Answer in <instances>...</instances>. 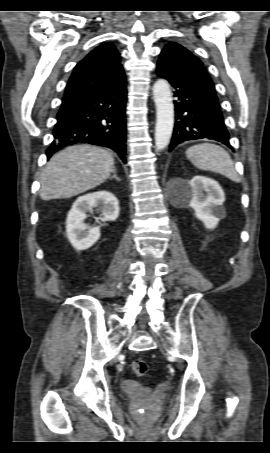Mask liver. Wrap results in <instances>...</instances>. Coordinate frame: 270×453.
<instances>
[{"instance_id": "obj_1", "label": "liver", "mask_w": 270, "mask_h": 453, "mask_svg": "<svg viewBox=\"0 0 270 453\" xmlns=\"http://www.w3.org/2000/svg\"><path fill=\"white\" fill-rule=\"evenodd\" d=\"M114 170V158L105 149L75 145L55 154L40 176L44 201L70 198L102 184Z\"/></svg>"}]
</instances>
